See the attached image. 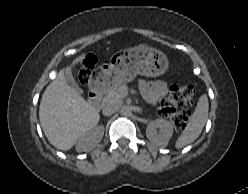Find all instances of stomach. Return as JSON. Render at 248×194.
I'll use <instances>...</instances> for the list:
<instances>
[{
    "label": "stomach",
    "instance_id": "obj_1",
    "mask_svg": "<svg viewBox=\"0 0 248 194\" xmlns=\"http://www.w3.org/2000/svg\"><path fill=\"white\" fill-rule=\"evenodd\" d=\"M168 69V60L159 50L143 45L117 55L102 68L104 86L115 87L134 80L137 75L157 77Z\"/></svg>",
    "mask_w": 248,
    "mask_h": 194
}]
</instances>
